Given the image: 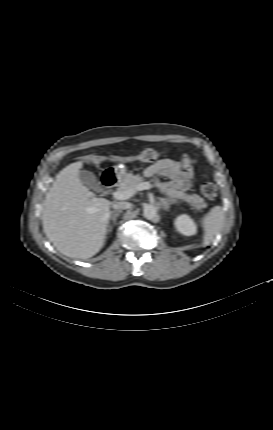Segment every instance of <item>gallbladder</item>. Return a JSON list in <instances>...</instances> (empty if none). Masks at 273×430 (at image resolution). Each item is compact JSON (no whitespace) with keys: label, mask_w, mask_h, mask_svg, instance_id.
<instances>
[{"label":"gallbladder","mask_w":273,"mask_h":430,"mask_svg":"<svg viewBox=\"0 0 273 430\" xmlns=\"http://www.w3.org/2000/svg\"><path fill=\"white\" fill-rule=\"evenodd\" d=\"M79 178H80L81 182L87 188L92 189V190L97 191V192H99L101 190V185L98 182V180L96 179V176L92 172L82 170L79 173Z\"/></svg>","instance_id":"obj_1"}]
</instances>
